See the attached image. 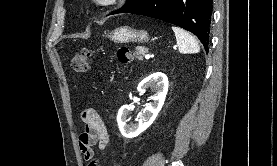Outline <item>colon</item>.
Here are the masks:
<instances>
[{"mask_svg":"<svg viewBox=\"0 0 277 166\" xmlns=\"http://www.w3.org/2000/svg\"><path fill=\"white\" fill-rule=\"evenodd\" d=\"M118 60L121 63H129L132 61V53L125 46L119 47L117 51ZM91 63V51L84 49L78 52L71 61V68L75 72H85L88 70Z\"/></svg>","mask_w":277,"mask_h":166,"instance_id":"colon-1","label":"colon"}]
</instances>
